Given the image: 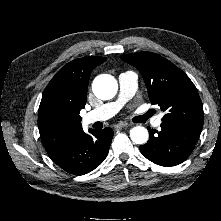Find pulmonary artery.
<instances>
[{"label":"pulmonary artery","instance_id":"pulmonary-artery-1","mask_svg":"<svg viewBox=\"0 0 221 221\" xmlns=\"http://www.w3.org/2000/svg\"><path fill=\"white\" fill-rule=\"evenodd\" d=\"M137 89V75L132 72H124L119 75V95L118 98L106 104H103L92 111L88 112L83 117V122L85 124H91L97 121H105L116 113L123 107V105L131 99ZM162 123V115L154 118L152 124L155 127H159Z\"/></svg>","mask_w":221,"mask_h":221}]
</instances>
